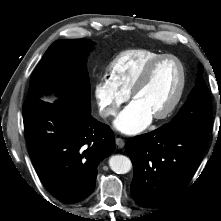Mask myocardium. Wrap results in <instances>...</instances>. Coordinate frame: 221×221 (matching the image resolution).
Instances as JSON below:
<instances>
[{
    "mask_svg": "<svg viewBox=\"0 0 221 221\" xmlns=\"http://www.w3.org/2000/svg\"><path fill=\"white\" fill-rule=\"evenodd\" d=\"M167 59H172L174 60L180 68V82L179 86L177 89V92L170 102V104L160 113L156 114L153 116L155 120H163L168 118L178 107L180 104L185 88H186V81H187V74H186V68L183 64V62L175 55L172 54H163L154 60H152L142 71L141 75L138 77L137 81L133 85L131 92H130V97L131 99H134L135 96L141 91V89L147 84L149 81L152 72L154 68L159 65L161 62Z\"/></svg>",
    "mask_w": 221,
    "mask_h": 221,
    "instance_id": "f54148a6",
    "label": "myocardium"
}]
</instances>
